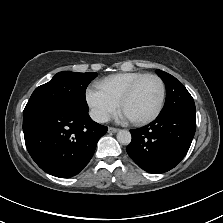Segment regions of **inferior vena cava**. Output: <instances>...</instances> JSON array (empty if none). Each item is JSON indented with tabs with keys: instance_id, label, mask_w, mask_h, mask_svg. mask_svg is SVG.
<instances>
[{
	"instance_id": "obj_1",
	"label": "inferior vena cava",
	"mask_w": 223,
	"mask_h": 223,
	"mask_svg": "<svg viewBox=\"0 0 223 223\" xmlns=\"http://www.w3.org/2000/svg\"><path fill=\"white\" fill-rule=\"evenodd\" d=\"M90 117L97 123H106L109 121V116L106 113H103L99 110H91Z\"/></svg>"
}]
</instances>
